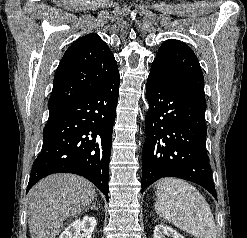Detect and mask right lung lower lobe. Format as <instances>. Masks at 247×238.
I'll use <instances>...</instances> for the list:
<instances>
[{
    "mask_svg": "<svg viewBox=\"0 0 247 238\" xmlns=\"http://www.w3.org/2000/svg\"><path fill=\"white\" fill-rule=\"evenodd\" d=\"M119 74L85 97L49 115L41 153L33 163L27 192L53 173L90 180L108 199L109 160Z\"/></svg>",
    "mask_w": 247,
    "mask_h": 238,
    "instance_id": "right-lung-lower-lobe-1",
    "label": "right lung lower lobe"
}]
</instances>
